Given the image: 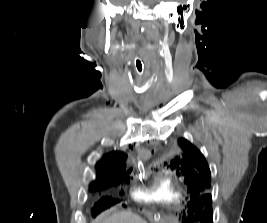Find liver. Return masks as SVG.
<instances>
[{"mask_svg":"<svg viewBox=\"0 0 267 223\" xmlns=\"http://www.w3.org/2000/svg\"><path fill=\"white\" fill-rule=\"evenodd\" d=\"M95 223H146V221L130 211H122L109 217H102Z\"/></svg>","mask_w":267,"mask_h":223,"instance_id":"obj_1","label":"liver"}]
</instances>
